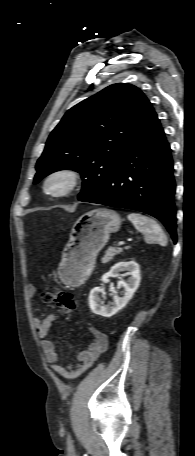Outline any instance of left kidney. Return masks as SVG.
<instances>
[{
    "label": "left kidney",
    "instance_id": "obj_1",
    "mask_svg": "<svg viewBox=\"0 0 195 456\" xmlns=\"http://www.w3.org/2000/svg\"><path fill=\"white\" fill-rule=\"evenodd\" d=\"M120 271H128L130 274L127 282L123 280L118 281L117 288L124 289V296L121 298L114 296L113 302L110 305L105 306L99 296V294L102 293V289L100 287L93 288L89 295V306L93 313L107 318L115 315L119 310L126 306L138 289L141 280L140 268L134 261L119 262L115 264L109 272L102 276V281L107 282L109 277H119Z\"/></svg>",
    "mask_w": 195,
    "mask_h": 456
}]
</instances>
